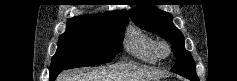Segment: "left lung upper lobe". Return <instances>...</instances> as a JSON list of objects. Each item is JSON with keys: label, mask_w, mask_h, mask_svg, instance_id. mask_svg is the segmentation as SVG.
I'll use <instances>...</instances> for the list:
<instances>
[{"label": "left lung upper lobe", "mask_w": 237, "mask_h": 81, "mask_svg": "<svg viewBox=\"0 0 237 81\" xmlns=\"http://www.w3.org/2000/svg\"><path fill=\"white\" fill-rule=\"evenodd\" d=\"M136 8L130 11V17L135 24L145 30L151 31L172 44L173 52L176 56V63L171 71L184 77L199 80L196 75L195 63L192 55L185 49V39L173 23L171 14L156 8H146L145 0L136 1Z\"/></svg>", "instance_id": "5c2ea615"}]
</instances>
